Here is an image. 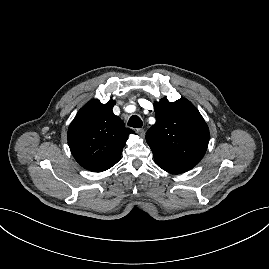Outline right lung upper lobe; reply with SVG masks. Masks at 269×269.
I'll return each mask as SVG.
<instances>
[{
    "instance_id": "cb5924a9",
    "label": "right lung upper lobe",
    "mask_w": 269,
    "mask_h": 269,
    "mask_svg": "<svg viewBox=\"0 0 269 269\" xmlns=\"http://www.w3.org/2000/svg\"><path fill=\"white\" fill-rule=\"evenodd\" d=\"M115 101L102 104L93 99L83 106L68 129V144L76 161L85 169L102 172L121 157L128 135L133 130L113 114Z\"/></svg>"
}]
</instances>
